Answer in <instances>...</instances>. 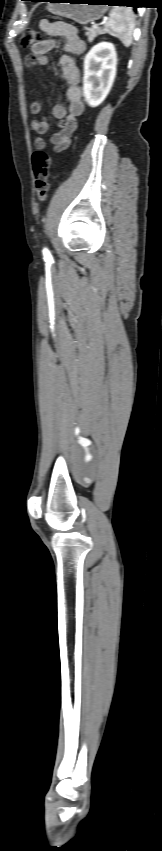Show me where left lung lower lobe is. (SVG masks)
<instances>
[{
  "mask_svg": "<svg viewBox=\"0 0 162 851\" xmlns=\"http://www.w3.org/2000/svg\"><path fill=\"white\" fill-rule=\"evenodd\" d=\"M35 1H43V0H35ZM109 5H125L130 6V4H134L133 0H106Z\"/></svg>",
  "mask_w": 162,
  "mask_h": 851,
  "instance_id": "0a47b994",
  "label": "left lung lower lobe"
}]
</instances>
